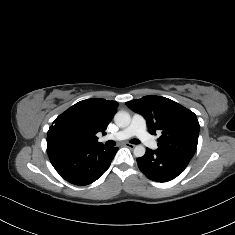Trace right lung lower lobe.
Instances as JSON below:
<instances>
[{
	"label": "right lung lower lobe",
	"instance_id": "1",
	"mask_svg": "<svg viewBox=\"0 0 235 235\" xmlns=\"http://www.w3.org/2000/svg\"><path fill=\"white\" fill-rule=\"evenodd\" d=\"M118 148L98 146L49 145L47 153L55 170L66 181L88 185L96 181L110 166Z\"/></svg>",
	"mask_w": 235,
	"mask_h": 235
}]
</instances>
